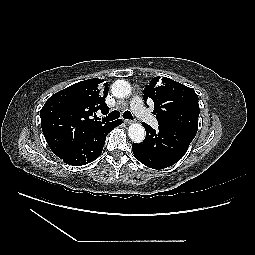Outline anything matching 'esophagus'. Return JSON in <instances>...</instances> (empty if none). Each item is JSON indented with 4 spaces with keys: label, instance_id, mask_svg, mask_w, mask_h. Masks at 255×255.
I'll return each mask as SVG.
<instances>
[{
    "label": "esophagus",
    "instance_id": "obj_1",
    "mask_svg": "<svg viewBox=\"0 0 255 255\" xmlns=\"http://www.w3.org/2000/svg\"><path fill=\"white\" fill-rule=\"evenodd\" d=\"M132 122H133L132 120L124 119V123L127 125L131 124Z\"/></svg>",
    "mask_w": 255,
    "mask_h": 255
}]
</instances>
